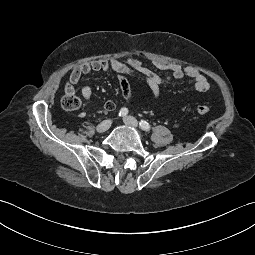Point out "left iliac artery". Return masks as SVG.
<instances>
[{
    "label": "left iliac artery",
    "mask_w": 255,
    "mask_h": 255,
    "mask_svg": "<svg viewBox=\"0 0 255 255\" xmlns=\"http://www.w3.org/2000/svg\"><path fill=\"white\" fill-rule=\"evenodd\" d=\"M140 127L145 130V131H149L151 126L149 125L148 122L144 121V120H141L140 123H139Z\"/></svg>",
    "instance_id": "left-iliac-artery-1"
}]
</instances>
